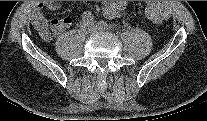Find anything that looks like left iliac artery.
Here are the masks:
<instances>
[{
    "label": "left iliac artery",
    "instance_id": "left-iliac-artery-1",
    "mask_svg": "<svg viewBox=\"0 0 207 121\" xmlns=\"http://www.w3.org/2000/svg\"><path fill=\"white\" fill-rule=\"evenodd\" d=\"M98 26L104 29H114L115 27L113 25L108 24L105 21H99Z\"/></svg>",
    "mask_w": 207,
    "mask_h": 121
}]
</instances>
